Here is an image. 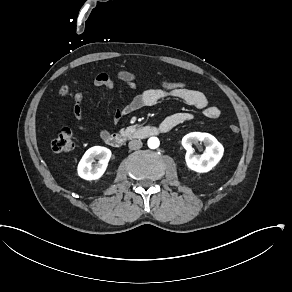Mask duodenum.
<instances>
[{
  "mask_svg": "<svg viewBox=\"0 0 292 292\" xmlns=\"http://www.w3.org/2000/svg\"><path fill=\"white\" fill-rule=\"evenodd\" d=\"M170 130V126L142 127L134 131L131 136L136 139H145L153 135L167 133ZM106 141L111 147L120 148L124 143V137L119 133H113L106 138Z\"/></svg>",
  "mask_w": 292,
  "mask_h": 292,
  "instance_id": "obj_1",
  "label": "duodenum"
}]
</instances>
